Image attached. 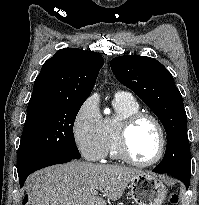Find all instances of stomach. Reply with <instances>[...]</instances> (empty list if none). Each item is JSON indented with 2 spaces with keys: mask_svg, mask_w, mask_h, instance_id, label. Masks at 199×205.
I'll return each instance as SVG.
<instances>
[{
  "mask_svg": "<svg viewBox=\"0 0 199 205\" xmlns=\"http://www.w3.org/2000/svg\"><path fill=\"white\" fill-rule=\"evenodd\" d=\"M129 188L131 198L137 205H162L167 196L165 185L146 173L134 176Z\"/></svg>",
  "mask_w": 199,
  "mask_h": 205,
  "instance_id": "stomach-1",
  "label": "stomach"
}]
</instances>
